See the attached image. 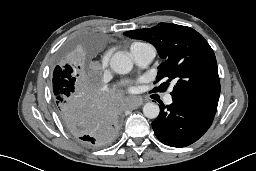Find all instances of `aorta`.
I'll list each match as a JSON object with an SVG mask.
<instances>
[{"mask_svg":"<svg viewBox=\"0 0 256 171\" xmlns=\"http://www.w3.org/2000/svg\"><path fill=\"white\" fill-rule=\"evenodd\" d=\"M112 70L118 74H127L133 68V62L128 55L123 52H116L111 60ZM160 113L159 106L154 102H148L143 107V114L149 119H155Z\"/></svg>","mask_w":256,"mask_h":171,"instance_id":"obj_1","label":"aorta"}]
</instances>
